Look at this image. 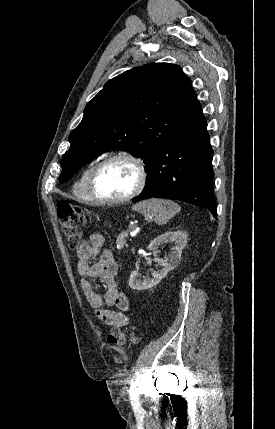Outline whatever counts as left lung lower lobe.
<instances>
[{"instance_id": "left-lung-lower-lobe-1", "label": "left lung lower lobe", "mask_w": 275, "mask_h": 429, "mask_svg": "<svg viewBox=\"0 0 275 429\" xmlns=\"http://www.w3.org/2000/svg\"><path fill=\"white\" fill-rule=\"evenodd\" d=\"M206 127L194 95L186 113L147 168L146 185L133 202L152 197L175 199L207 208L216 218L213 150Z\"/></svg>"}]
</instances>
